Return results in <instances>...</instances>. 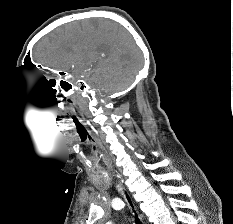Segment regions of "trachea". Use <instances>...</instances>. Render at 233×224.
I'll return each instance as SVG.
<instances>
[{
  "label": "trachea",
  "mask_w": 233,
  "mask_h": 224,
  "mask_svg": "<svg viewBox=\"0 0 233 224\" xmlns=\"http://www.w3.org/2000/svg\"><path fill=\"white\" fill-rule=\"evenodd\" d=\"M127 199H128L129 203H130L131 206H132V203H131L130 198L128 197V195H127ZM132 207H133V206H132ZM136 224H141V222H140L139 219L137 218V215H136Z\"/></svg>",
  "instance_id": "trachea-1"
}]
</instances>
